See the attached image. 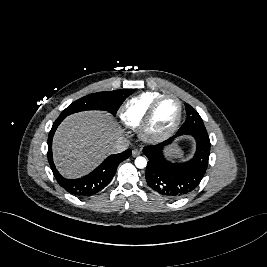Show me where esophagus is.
I'll return each mask as SVG.
<instances>
[{
  "label": "esophagus",
  "mask_w": 267,
  "mask_h": 267,
  "mask_svg": "<svg viewBox=\"0 0 267 267\" xmlns=\"http://www.w3.org/2000/svg\"><path fill=\"white\" fill-rule=\"evenodd\" d=\"M140 153H141V151H140L139 149H134V150L132 151V156H133V157H136V156L140 155Z\"/></svg>",
  "instance_id": "esophagus-1"
}]
</instances>
